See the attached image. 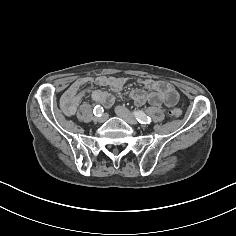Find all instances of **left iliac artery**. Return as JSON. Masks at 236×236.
Wrapping results in <instances>:
<instances>
[{
    "mask_svg": "<svg viewBox=\"0 0 236 236\" xmlns=\"http://www.w3.org/2000/svg\"><path fill=\"white\" fill-rule=\"evenodd\" d=\"M133 114L141 124H150L152 122L151 118L142 111H134Z\"/></svg>",
    "mask_w": 236,
    "mask_h": 236,
    "instance_id": "obj_1",
    "label": "left iliac artery"
}]
</instances>
